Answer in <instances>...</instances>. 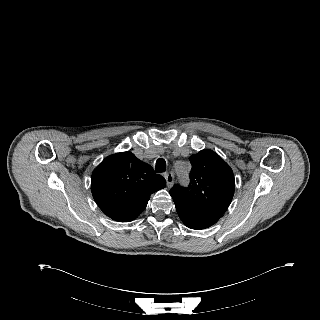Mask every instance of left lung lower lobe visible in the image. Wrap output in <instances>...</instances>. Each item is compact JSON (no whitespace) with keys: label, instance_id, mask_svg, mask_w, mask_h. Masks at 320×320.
<instances>
[{"label":"left lung lower lobe","instance_id":"0a47b994","mask_svg":"<svg viewBox=\"0 0 320 320\" xmlns=\"http://www.w3.org/2000/svg\"><path fill=\"white\" fill-rule=\"evenodd\" d=\"M182 222L191 229H205L215 224L222 215L205 211L181 201H174Z\"/></svg>","mask_w":320,"mask_h":320}]
</instances>
